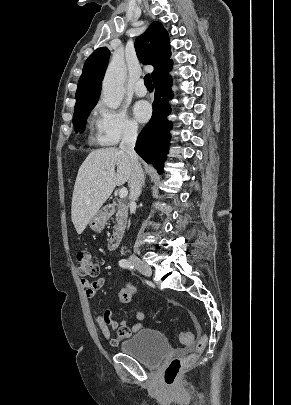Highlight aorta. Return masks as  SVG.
<instances>
[{
    "instance_id": "aorta-1",
    "label": "aorta",
    "mask_w": 291,
    "mask_h": 405,
    "mask_svg": "<svg viewBox=\"0 0 291 405\" xmlns=\"http://www.w3.org/2000/svg\"><path fill=\"white\" fill-rule=\"evenodd\" d=\"M126 66L122 56L114 55L102 82V100L110 109H117L124 96Z\"/></svg>"
}]
</instances>
